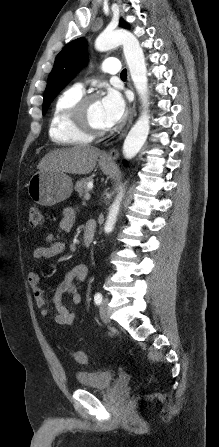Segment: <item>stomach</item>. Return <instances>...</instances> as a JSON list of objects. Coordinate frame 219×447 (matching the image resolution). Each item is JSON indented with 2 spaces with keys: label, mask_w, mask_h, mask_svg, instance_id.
Masks as SVG:
<instances>
[{
  "label": "stomach",
  "mask_w": 219,
  "mask_h": 447,
  "mask_svg": "<svg viewBox=\"0 0 219 447\" xmlns=\"http://www.w3.org/2000/svg\"><path fill=\"white\" fill-rule=\"evenodd\" d=\"M99 166L104 174L114 172V163L100 157ZM73 191L72 179L63 172L53 170H40L32 175L28 182V194L37 204L53 206L71 196Z\"/></svg>",
  "instance_id": "stomach-1"
}]
</instances>
